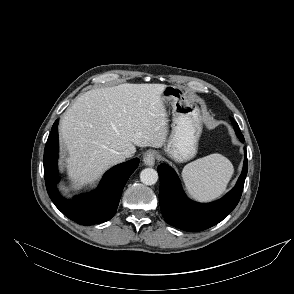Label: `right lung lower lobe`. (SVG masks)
Instances as JSON below:
<instances>
[{"label":"right lung lower lobe","instance_id":"98d812e1","mask_svg":"<svg viewBox=\"0 0 294 294\" xmlns=\"http://www.w3.org/2000/svg\"><path fill=\"white\" fill-rule=\"evenodd\" d=\"M58 121L52 126L44 150V176L49 197L55 206L69 219L81 225L103 223L111 219L117 210L122 190L130 175L138 167L139 159L116 165L107 171L99 188L68 201L62 198L56 188L59 181Z\"/></svg>","mask_w":294,"mask_h":294}]
</instances>
